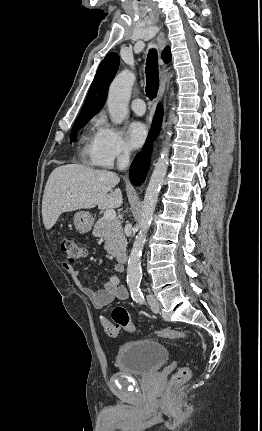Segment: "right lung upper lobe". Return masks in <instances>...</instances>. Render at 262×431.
Wrapping results in <instances>:
<instances>
[{
  "label": "right lung upper lobe",
  "instance_id": "cb5924a9",
  "mask_svg": "<svg viewBox=\"0 0 262 431\" xmlns=\"http://www.w3.org/2000/svg\"><path fill=\"white\" fill-rule=\"evenodd\" d=\"M162 57L165 63H168L171 60L169 47H166L163 50ZM118 66L119 56L116 53H110L103 59L98 67L78 118H92L103 107L109 84L114 78Z\"/></svg>",
  "mask_w": 262,
  "mask_h": 431
}]
</instances>
